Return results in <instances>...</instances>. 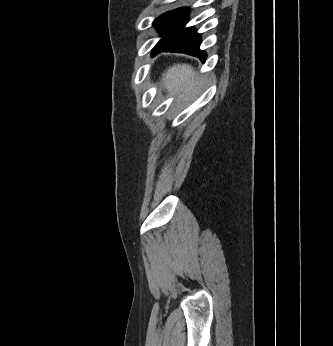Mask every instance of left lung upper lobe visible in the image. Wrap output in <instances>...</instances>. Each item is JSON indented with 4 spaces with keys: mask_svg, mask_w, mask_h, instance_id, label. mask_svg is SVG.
Masks as SVG:
<instances>
[{
    "mask_svg": "<svg viewBox=\"0 0 333 346\" xmlns=\"http://www.w3.org/2000/svg\"><path fill=\"white\" fill-rule=\"evenodd\" d=\"M188 19V10L185 8L169 11L156 18L153 26L159 29L162 39L159 42L170 39L177 34L186 24Z\"/></svg>",
    "mask_w": 333,
    "mask_h": 346,
    "instance_id": "5c2ea615",
    "label": "left lung upper lobe"
}]
</instances>
